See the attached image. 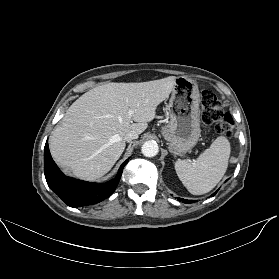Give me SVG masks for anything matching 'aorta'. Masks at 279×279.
<instances>
[{"label": "aorta", "mask_w": 279, "mask_h": 279, "mask_svg": "<svg viewBox=\"0 0 279 279\" xmlns=\"http://www.w3.org/2000/svg\"><path fill=\"white\" fill-rule=\"evenodd\" d=\"M141 151L146 157H154L159 152V147L155 141H146L141 148Z\"/></svg>", "instance_id": "obj_1"}]
</instances>
